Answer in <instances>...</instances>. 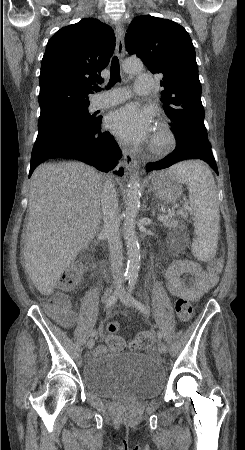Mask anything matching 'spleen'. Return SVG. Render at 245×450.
Wrapping results in <instances>:
<instances>
[{"label": "spleen", "instance_id": "obj_1", "mask_svg": "<svg viewBox=\"0 0 245 450\" xmlns=\"http://www.w3.org/2000/svg\"><path fill=\"white\" fill-rule=\"evenodd\" d=\"M167 172L189 187L196 234L192 253L201 261H209L216 254L220 230L218 194L214 177L209 168L200 161L181 162L173 165Z\"/></svg>", "mask_w": 245, "mask_h": 450}]
</instances>
